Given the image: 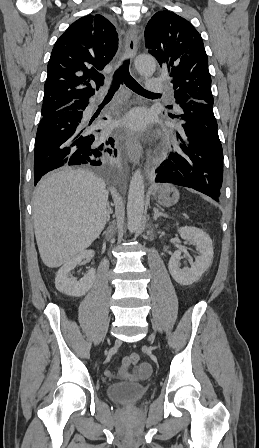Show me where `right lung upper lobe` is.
Instances as JSON below:
<instances>
[{
	"label": "right lung upper lobe",
	"mask_w": 259,
	"mask_h": 448,
	"mask_svg": "<svg viewBox=\"0 0 259 448\" xmlns=\"http://www.w3.org/2000/svg\"><path fill=\"white\" fill-rule=\"evenodd\" d=\"M117 48L116 29L102 15L90 14L71 24L51 52L41 115L89 101L103 86L101 71Z\"/></svg>",
	"instance_id": "1"
}]
</instances>
